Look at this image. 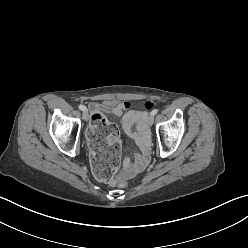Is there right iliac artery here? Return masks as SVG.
I'll return each instance as SVG.
<instances>
[{
    "label": "right iliac artery",
    "mask_w": 248,
    "mask_h": 248,
    "mask_svg": "<svg viewBox=\"0 0 248 248\" xmlns=\"http://www.w3.org/2000/svg\"><path fill=\"white\" fill-rule=\"evenodd\" d=\"M79 109L82 110V111H85L86 107L84 105H79Z\"/></svg>",
    "instance_id": "1"
}]
</instances>
